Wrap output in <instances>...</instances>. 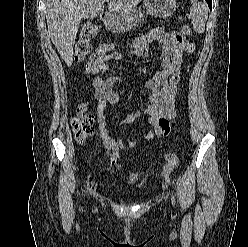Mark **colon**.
I'll return each mask as SVG.
<instances>
[{
  "mask_svg": "<svg viewBox=\"0 0 248 247\" xmlns=\"http://www.w3.org/2000/svg\"><path fill=\"white\" fill-rule=\"evenodd\" d=\"M180 30L183 35L191 34V28L187 25H183ZM98 33L99 27L95 23L88 22L83 25L75 46V60L77 62L83 61L90 53L92 48L91 41L98 35ZM164 34V30L161 28L155 29L152 33L155 38L161 37ZM111 48V45L103 44L96 49L86 64L85 69L88 74H94L99 70L102 59L108 55ZM93 122V117L86 112L85 107H78L71 119L74 136L78 143H84L93 133Z\"/></svg>",
  "mask_w": 248,
  "mask_h": 247,
  "instance_id": "obj_1",
  "label": "colon"
}]
</instances>
